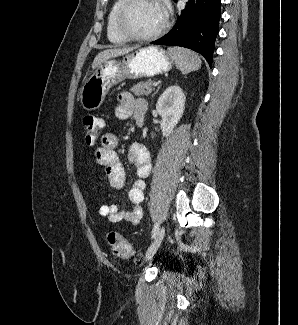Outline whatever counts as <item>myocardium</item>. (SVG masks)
Masks as SVG:
<instances>
[{"mask_svg": "<svg viewBox=\"0 0 298 325\" xmlns=\"http://www.w3.org/2000/svg\"><path fill=\"white\" fill-rule=\"evenodd\" d=\"M141 0H126L123 5L121 6L118 15L116 17V30L118 31V33L124 37L125 39H127L128 41H134V42H150V41H154L156 40L159 36H161L168 25V12H167V8L165 6V4L163 3L162 0H150L153 1L154 3H156L163 11L164 13V23L162 24V26L156 30L154 33L148 35V36H144V37H138L133 35L131 32H129V30L125 27L124 25V19L125 16L127 14V12L129 11V9L136 4L137 2H139Z\"/></svg>", "mask_w": 298, "mask_h": 325, "instance_id": "obj_1", "label": "myocardium"}]
</instances>
